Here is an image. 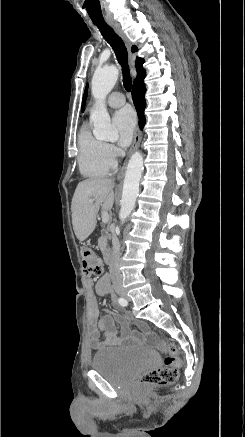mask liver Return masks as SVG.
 I'll return each mask as SVG.
<instances>
[{
    "instance_id": "liver-1",
    "label": "liver",
    "mask_w": 245,
    "mask_h": 437,
    "mask_svg": "<svg viewBox=\"0 0 245 437\" xmlns=\"http://www.w3.org/2000/svg\"><path fill=\"white\" fill-rule=\"evenodd\" d=\"M114 186V181L106 178H90L77 185L71 212L74 233L79 241L87 239L95 230L100 206L106 212L112 209ZM89 199H93V202L90 203Z\"/></svg>"
}]
</instances>
